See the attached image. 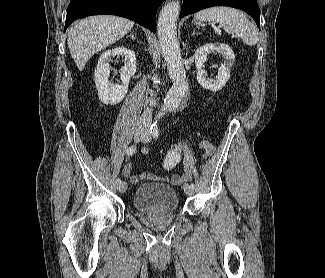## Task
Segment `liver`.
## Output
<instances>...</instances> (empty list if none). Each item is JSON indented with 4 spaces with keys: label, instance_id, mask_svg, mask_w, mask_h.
Masks as SVG:
<instances>
[{
    "label": "liver",
    "instance_id": "obj_1",
    "mask_svg": "<svg viewBox=\"0 0 325 278\" xmlns=\"http://www.w3.org/2000/svg\"><path fill=\"white\" fill-rule=\"evenodd\" d=\"M133 25V21L113 15L91 16L73 25L67 41L78 69L82 71L92 55L121 39Z\"/></svg>",
    "mask_w": 325,
    "mask_h": 278
}]
</instances>
